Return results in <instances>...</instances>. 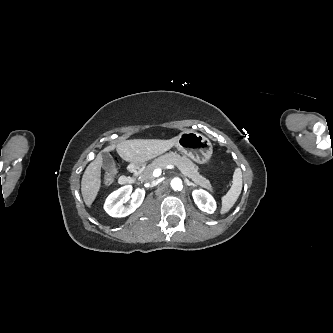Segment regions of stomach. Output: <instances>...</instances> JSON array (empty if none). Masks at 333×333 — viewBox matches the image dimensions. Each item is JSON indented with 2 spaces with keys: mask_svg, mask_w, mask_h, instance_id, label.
Listing matches in <instances>:
<instances>
[{
  "mask_svg": "<svg viewBox=\"0 0 333 333\" xmlns=\"http://www.w3.org/2000/svg\"><path fill=\"white\" fill-rule=\"evenodd\" d=\"M176 147L181 153L198 164H208L213 149L211 141L197 132H182L177 136ZM143 164H135L142 166Z\"/></svg>",
  "mask_w": 333,
  "mask_h": 333,
  "instance_id": "stomach-1",
  "label": "stomach"
}]
</instances>
